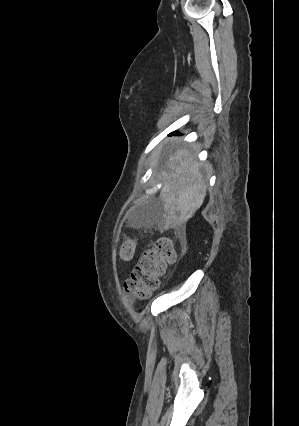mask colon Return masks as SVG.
<instances>
[{
  "mask_svg": "<svg viewBox=\"0 0 299 426\" xmlns=\"http://www.w3.org/2000/svg\"><path fill=\"white\" fill-rule=\"evenodd\" d=\"M136 249L134 239L125 240L119 248V257L123 261H130ZM176 258L174 244L171 238L161 237L147 248L140 256L130 278L124 283L125 296L130 301L143 300L159 287L160 278L167 265Z\"/></svg>",
  "mask_w": 299,
  "mask_h": 426,
  "instance_id": "5ec220e1",
  "label": "colon"
}]
</instances>
